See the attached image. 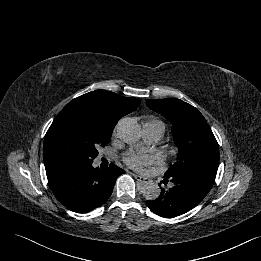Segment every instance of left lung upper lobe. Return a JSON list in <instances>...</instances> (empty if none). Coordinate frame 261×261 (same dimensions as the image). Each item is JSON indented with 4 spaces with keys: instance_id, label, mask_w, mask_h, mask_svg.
I'll use <instances>...</instances> for the list:
<instances>
[{
    "instance_id": "1",
    "label": "left lung upper lobe",
    "mask_w": 261,
    "mask_h": 261,
    "mask_svg": "<svg viewBox=\"0 0 261 261\" xmlns=\"http://www.w3.org/2000/svg\"><path fill=\"white\" fill-rule=\"evenodd\" d=\"M146 104L171 122L173 138L179 149L177 162L165 175L195 171L216 177L219 146L203 115L179 99H147Z\"/></svg>"
}]
</instances>
